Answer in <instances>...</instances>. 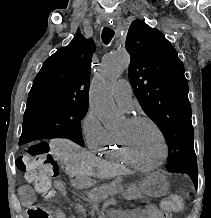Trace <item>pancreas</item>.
Masks as SVG:
<instances>
[{
	"mask_svg": "<svg viewBox=\"0 0 211 218\" xmlns=\"http://www.w3.org/2000/svg\"><path fill=\"white\" fill-rule=\"evenodd\" d=\"M117 187H124L117 184ZM97 190H92L91 194L88 196H92V200H104V195H119L120 193L125 196L126 200H138V198H143L139 188L137 186H129L128 190H124V192H117V188H113V186H97Z\"/></svg>",
	"mask_w": 211,
	"mask_h": 218,
	"instance_id": "pancreas-1",
	"label": "pancreas"
}]
</instances>
